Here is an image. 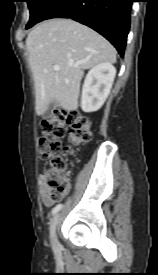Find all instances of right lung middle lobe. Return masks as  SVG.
<instances>
[{
	"label": "right lung middle lobe",
	"mask_w": 158,
	"mask_h": 275,
	"mask_svg": "<svg viewBox=\"0 0 158 275\" xmlns=\"http://www.w3.org/2000/svg\"><path fill=\"white\" fill-rule=\"evenodd\" d=\"M56 0H27L30 10V20L26 29L32 27L40 21L44 13Z\"/></svg>",
	"instance_id": "obj_1"
}]
</instances>
